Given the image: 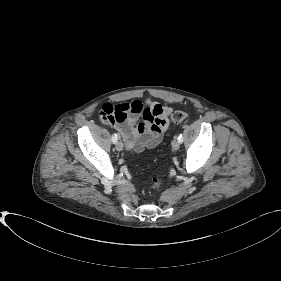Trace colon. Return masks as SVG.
Wrapping results in <instances>:
<instances>
[{
    "label": "colon",
    "mask_w": 281,
    "mask_h": 281,
    "mask_svg": "<svg viewBox=\"0 0 281 281\" xmlns=\"http://www.w3.org/2000/svg\"><path fill=\"white\" fill-rule=\"evenodd\" d=\"M140 109V105L138 102L133 104V108L130 107V104L123 103L118 104L116 106L111 104H105L100 111V116L103 120H107L109 122H123L130 111H138ZM187 119V114L184 111H174L171 114V120L175 124H180ZM162 184V181L159 179L153 180V189H158Z\"/></svg>",
    "instance_id": "5ec220e1"
}]
</instances>
